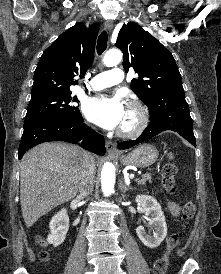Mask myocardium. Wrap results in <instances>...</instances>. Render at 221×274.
<instances>
[{
    "label": "myocardium",
    "instance_id": "f54148a6",
    "mask_svg": "<svg viewBox=\"0 0 221 274\" xmlns=\"http://www.w3.org/2000/svg\"><path fill=\"white\" fill-rule=\"evenodd\" d=\"M127 108L136 115V121L132 126L120 127L118 135L123 138H135L139 136L148 126L149 113L147 108L138 100H129Z\"/></svg>",
    "mask_w": 221,
    "mask_h": 274
}]
</instances>
